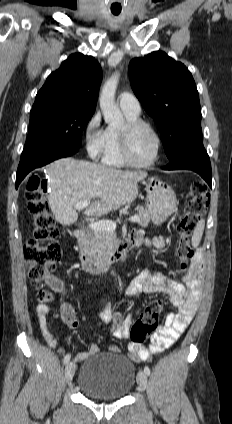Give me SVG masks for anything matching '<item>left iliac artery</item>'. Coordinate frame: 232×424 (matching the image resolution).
I'll use <instances>...</instances> for the list:
<instances>
[{"mask_svg":"<svg viewBox=\"0 0 232 424\" xmlns=\"http://www.w3.org/2000/svg\"><path fill=\"white\" fill-rule=\"evenodd\" d=\"M144 372H145L147 375H150V373H151V371H150L149 367H147V366H145V367H144Z\"/></svg>","mask_w":232,"mask_h":424,"instance_id":"left-iliac-artery-1","label":"left iliac artery"}]
</instances>
